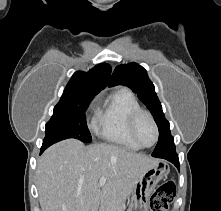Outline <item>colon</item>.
Returning <instances> with one entry per match:
<instances>
[{"mask_svg": "<svg viewBox=\"0 0 221 211\" xmlns=\"http://www.w3.org/2000/svg\"><path fill=\"white\" fill-rule=\"evenodd\" d=\"M175 184L166 181L159 185L149 201L150 211H167L175 197Z\"/></svg>", "mask_w": 221, "mask_h": 211, "instance_id": "5ec220e1", "label": "colon"}]
</instances>
